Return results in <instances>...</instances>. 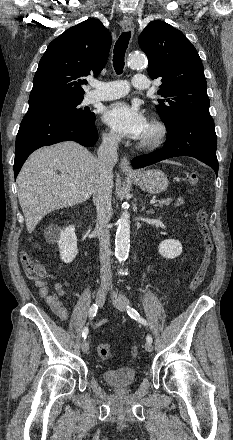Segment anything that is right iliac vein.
Returning a JSON list of instances; mask_svg holds the SVG:
<instances>
[{
  "label": "right iliac vein",
  "instance_id": "right-iliac-vein-1",
  "mask_svg": "<svg viewBox=\"0 0 233 440\" xmlns=\"http://www.w3.org/2000/svg\"><path fill=\"white\" fill-rule=\"evenodd\" d=\"M108 287L105 285H102L96 295V303L99 307H101L105 301L106 293H107ZM81 349L84 353H87L89 350V341L87 339H84L81 344Z\"/></svg>",
  "mask_w": 233,
  "mask_h": 440
}]
</instances>
